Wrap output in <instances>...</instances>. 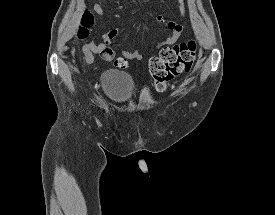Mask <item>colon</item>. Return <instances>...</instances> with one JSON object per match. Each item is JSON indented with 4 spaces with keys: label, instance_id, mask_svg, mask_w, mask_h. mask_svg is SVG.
<instances>
[{
    "label": "colon",
    "instance_id": "colon-1",
    "mask_svg": "<svg viewBox=\"0 0 275 215\" xmlns=\"http://www.w3.org/2000/svg\"><path fill=\"white\" fill-rule=\"evenodd\" d=\"M93 25V15L90 11H86L78 30V37L86 38ZM195 59L196 43L193 40L181 41L173 46L162 48L159 54L149 61V71L153 78L154 87L158 91H164L174 77L192 69ZM115 64L117 67L125 69L128 62L125 58L120 57Z\"/></svg>",
    "mask_w": 275,
    "mask_h": 215
}]
</instances>
